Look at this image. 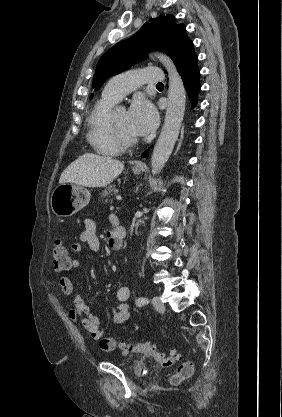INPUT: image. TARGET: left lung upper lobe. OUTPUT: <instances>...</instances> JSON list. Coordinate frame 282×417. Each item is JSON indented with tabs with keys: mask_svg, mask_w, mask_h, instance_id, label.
<instances>
[{
	"mask_svg": "<svg viewBox=\"0 0 282 417\" xmlns=\"http://www.w3.org/2000/svg\"><path fill=\"white\" fill-rule=\"evenodd\" d=\"M131 38L115 44L98 61L92 87L99 89L110 77L119 74L146 58L153 50L165 52L172 59L179 50L191 42L186 35V26L176 24L173 15H160L150 19ZM91 94L90 99H92Z\"/></svg>",
	"mask_w": 282,
	"mask_h": 417,
	"instance_id": "obj_1",
	"label": "left lung upper lobe"
}]
</instances>
